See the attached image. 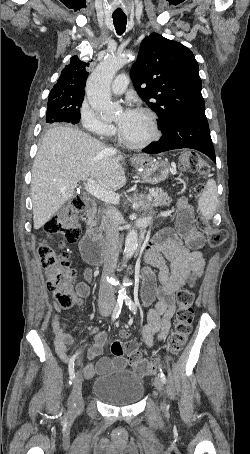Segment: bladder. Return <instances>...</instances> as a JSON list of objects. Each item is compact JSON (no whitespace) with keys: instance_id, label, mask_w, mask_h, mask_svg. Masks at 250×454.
I'll return each mask as SVG.
<instances>
[{"instance_id":"31cf9c89","label":"bladder","mask_w":250,"mask_h":454,"mask_svg":"<svg viewBox=\"0 0 250 454\" xmlns=\"http://www.w3.org/2000/svg\"><path fill=\"white\" fill-rule=\"evenodd\" d=\"M92 393L107 405H133L142 399L145 382L138 373L119 368L95 379L92 382Z\"/></svg>"}]
</instances>
